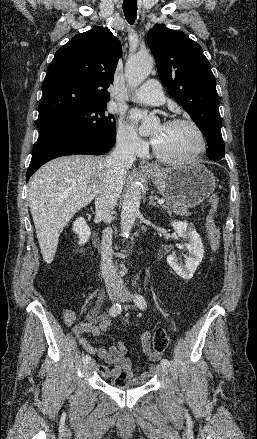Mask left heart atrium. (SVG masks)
Wrapping results in <instances>:
<instances>
[{
    "label": "left heart atrium",
    "mask_w": 257,
    "mask_h": 439,
    "mask_svg": "<svg viewBox=\"0 0 257 439\" xmlns=\"http://www.w3.org/2000/svg\"><path fill=\"white\" fill-rule=\"evenodd\" d=\"M132 118H133L134 120H139V119L142 118V113L139 112V111H134V112L132 113Z\"/></svg>",
    "instance_id": "39dd6f15"
}]
</instances>
